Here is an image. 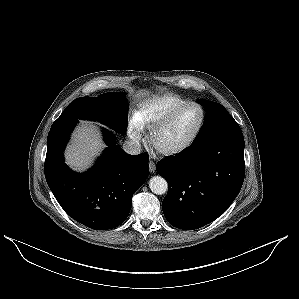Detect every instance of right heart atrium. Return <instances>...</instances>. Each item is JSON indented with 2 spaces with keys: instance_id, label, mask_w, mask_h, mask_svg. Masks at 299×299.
<instances>
[{
  "instance_id": "d8ad5b80",
  "label": "right heart atrium",
  "mask_w": 299,
  "mask_h": 299,
  "mask_svg": "<svg viewBox=\"0 0 299 299\" xmlns=\"http://www.w3.org/2000/svg\"><path fill=\"white\" fill-rule=\"evenodd\" d=\"M128 136L134 143H139L142 140L143 127L136 119L129 122Z\"/></svg>"
}]
</instances>
